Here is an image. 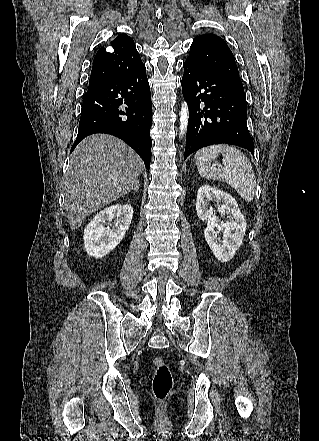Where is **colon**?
<instances>
[{"label":"colon","mask_w":319,"mask_h":441,"mask_svg":"<svg viewBox=\"0 0 319 441\" xmlns=\"http://www.w3.org/2000/svg\"><path fill=\"white\" fill-rule=\"evenodd\" d=\"M155 373L152 381V391L156 399L162 401L169 395L173 386V377L169 366L162 357H154Z\"/></svg>","instance_id":"5ec220e1"}]
</instances>
